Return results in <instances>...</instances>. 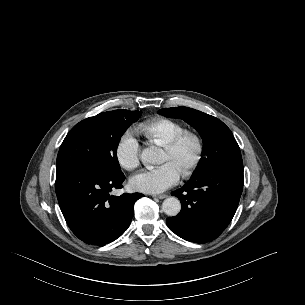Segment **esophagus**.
<instances>
[{
	"instance_id": "1",
	"label": "esophagus",
	"mask_w": 305,
	"mask_h": 305,
	"mask_svg": "<svg viewBox=\"0 0 305 305\" xmlns=\"http://www.w3.org/2000/svg\"><path fill=\"white\" fill-rule=\"evenodd\" d=\"M152 197L157 198V199H165L167 198L166 194H162V195H152Z\"/></svg>"
}]
</instances>
